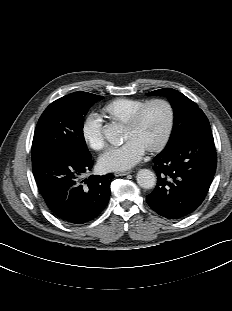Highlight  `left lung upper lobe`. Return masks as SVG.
Returning a JSON list of instances; mask_svg holds the SVG:
<instances>
[{
  "mask_svg": "<svg viewBox=\"0 0 232 311\" xmlns=\"http://www.w3.org/2000/svg\"><path fill=\"white\" fill-rule=\"evenodd\" d=\"M148 95H164L171 102L174 110V126L166 147L184 138L187 134L205 126L209 121L198 105L179 91L163 88L152 91Z\"/></svg>",
  "mask_w": 232,
  "mask_h": 311,
  "instance_id": "1",
  "label": "left lung upper lobe"
}]
</instances>
